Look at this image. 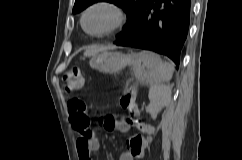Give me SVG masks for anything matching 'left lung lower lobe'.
I'll use <instances>...</instances> for the list:
<instances>
[{"label": "left lung lower lobe", "mask_w": 242, "mask_h": 160, "mask_svg": "<svg viewBox=\"0 0 242 160\" xmlns=\"http://www.w3.org/2000/svg\"><path fill=\"white\" fill-rule=\"evenodd\" d=\"M190 11L191 0H148L131 31L118 37L114 43L166 55L179 66Z\"/></svg>", "instance_id": "0a47b994"}]
</instances>
